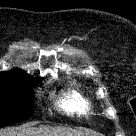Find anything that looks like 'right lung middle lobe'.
<instances>
[{
	"label": "right lung middle lobe",
	"instance_id": "right-lung-middle-lobe-1",
	"mask_svg": "<svg viewBox=\"0 0 136 136\" xmlns=\"http://www.w3.org/2000/svg\"><path fill=\"white\" fill-rule=\"evenodd\" d=\"M38 79L0 81V127L29 118L34 110L33 87Z\"/></svg>",
	"mask_w": 136,
	"mask_h": 136
}]
</instances>
